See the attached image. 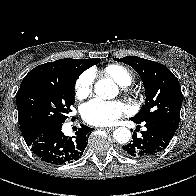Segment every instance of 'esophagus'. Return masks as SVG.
<instances>
[{"mask_svg": "<svg viewBox=\"0 0 196 196\" xmlns=\"http://www.w3.org/2000/svg\"><path fill=\"white\" fill-rule=\"evenodd\" d=\"M114 129H115L114 127L105 128V130H108V131H113Z\"/></svg>", "mask_w": 196, "mask_h": 196, "instance_id": "1", "label": "esophagus"}]
</instances>
